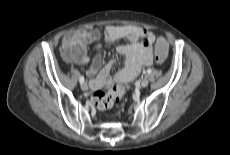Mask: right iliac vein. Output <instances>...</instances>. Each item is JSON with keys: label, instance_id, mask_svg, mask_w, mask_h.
<instances>
[{"label": "right iliac vein", "instance_id": "63e3f726", "mask_svg": "<svg viewBox=\"0 0 230 155\" xmlns=\"http://www.w3.org/2000/svg\"><path fill=\"white\" fill-rule=\"evenodd\" d=\"M81 89H82L83 91L88 90V85H87L86 83H82V84H81Z\"/></svg>", "mask_w": 230, "mask_h": 155}]
</instances>
